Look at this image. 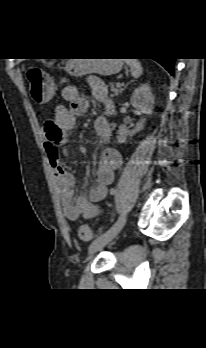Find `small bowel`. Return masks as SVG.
<instances>
[{"label": "small bowel", "mask_w": 206, "mask_h": 348, "mask_svg": "<svg viewBox=\"0 0 206 348\" xmlns=\"http://www.w3.org/2000/svg\"><path fill=\"white\" fill-rule=\"evenodd\" d=\"M92 95L100 103L110 106L106 85L98 79L89 80ZM62 97L68 106L58 105L55 117L47 122L44 127V151L52 169L55 187L65 217L70 221H77L80 217L92 218L98 213V205L106 197L107 187L113 182L115 171L121 166L122 158L115 149L105 150L100 157L99 165L95 171V183L90 188L88 196L74 197L75 177L61 165V151L66 146V135L76 122V117L83 115L89 106L88 98L73 85L62 89ZM94 130L98 135L108 136L111 133L110 124L104 117L94 121Z\"/></svg>", "instance_id": "obj_1"}]
</instances>
